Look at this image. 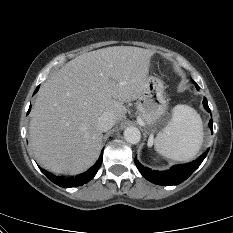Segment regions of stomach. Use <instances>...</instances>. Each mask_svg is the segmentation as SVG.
<instances>
[{
    "mask_svg": "<svg viewBox=\"0 0 233 233\" xmlns=\"http://www.w3.org/2000/svg\"><path fill=\"white\" fill-rule=\"evenodd\" d=\"M167 106L163 82L154 76H148L137 106L139 118L152 129L160 122Z\"/></svg>",
    "mask_w": 233,
    "mask_h": 233,
    "instance_id": "stomach-1",
    "label": "stomach"
}]
</instances>
